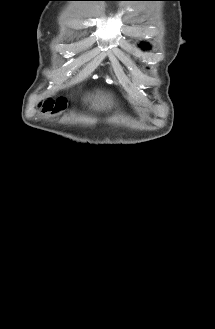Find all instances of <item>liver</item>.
<instances>
[{
	"label": "liver",
	"mask_w": 215,
	"mask_h": 329,
	"mask_svg": "<svg viewBox=\"0 0 215 329\" xmlns=\"http://www.w3.org/2000/svg\"><path fill=\"white\" fill-rule=\"evenodd\" d=\"M111 104V99L108 97V95H104V94H97L94 97V101H93V106L96 109H105L106 107H110Z\"/></svg>",
	"instance_id": "6515ba94"
}]
</instances>
